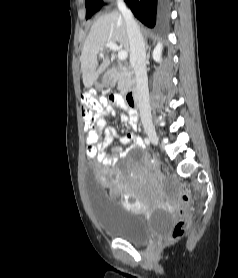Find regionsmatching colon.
<instances>
[{
    "label": "colon",
    "mask_w": 238,
    "mask_h": 278,
    "mask_svg": "<svg viewBox=\"0 0 238 278\" xmlns=\"http://www.w3.org/2000/svg\"><path fill=\"white\" fill-rule=\"evenodd\" d=\"M107 102L106 97L98 95L95 91L85 92L81 97L82 116L86 122V141H82V146H85L83 148L84 159H97V156H100L103 128L99 125L94 128V122L107 107ZM175 187L180 191V200L177 205V220L168 233V238L171 240L180 239L190 224L188 217L190 187L183 183L182 177L176 178Z\"/></svg>",
    "instance_id": "1"
}]
</instances>
